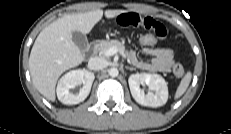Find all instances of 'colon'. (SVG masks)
I'll return each instance as SVG.
<instances>
[{"mask_svg": "<svg viewBox=\"0 0 231 134\" xmlns=\"http://www.w3.org/2000/svg\"><path fill=\"white\" fill-rule=\"evenodd\" d=\"M136 41L142 47H153L159 42V38L150 33L139 34L136 36ZM173 73L177 77H182L184 75V68L180 63L173 65Z\"/></svg>", "mask_w": 231, "mask_h": 134, "instance_id": "5ec220e1", "label": "colon"}]
</instances>
